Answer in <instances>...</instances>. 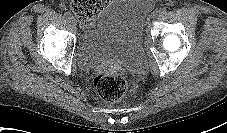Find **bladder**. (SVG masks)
I'll list each match as a JSON object with an SVG mask.
<instances>
[{
    "label": "bladder",
    "instance_id": "1",
    "mask_svg": "<svg viewBox=\"0 0 227 133\" xmlns=\"http://www.w3.org/2000/svg\"><path fill=\"white\" fill-rule=\"evenodd\" d=\"M153 0H111L86 24L76 45L81 68L118 64L139 72L144 68L143 34Z\"/></svg>",
    "mask_w": 227,
    "mask_h": 133
}]
</instances>
